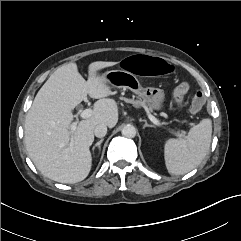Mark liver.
<instances>
[{
	"label": "liver",
	"mask_w": 241,
	"mask_h": 241,
	"mask_svg": "<svg viewBox=\"0 0 241 241\" xmlns=\"http://www.w3.org/2000/svg\"><path fill=\"white\" fill-rule=\"evenodd\" d=\"M117 62L96 61L88 66V80L76 63L57 68L38 91L24 125V141L36 168L47 178L60 183L84 180L92 167L90 146L98 124L113 128L118 122L117 103L108 98L112 91L105 74L98 71ZM89 95L98 99L91 117L81 120L69 132L72 110Z\"/></svg>",
	"instance_id": "liver-1"
}]
</instances>
